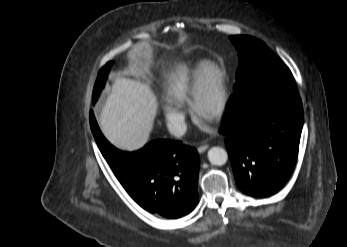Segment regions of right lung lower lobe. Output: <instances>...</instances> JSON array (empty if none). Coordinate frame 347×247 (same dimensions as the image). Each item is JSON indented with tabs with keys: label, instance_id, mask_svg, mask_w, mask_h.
Wrapping results in <instances>:
<instances>
[{
	"label": "right lung lower lobe",
	"instance_id": "98d812e1",
	"mask_svg": "<svg viewBox=\"0 0 347 247\" xmlns=\"http://www.w3.org/2000/svg\"><path fill=\"white\" fill-rule=\"evenodd\" d=\"M89 119L103 157L123 188L142 208L174 219L195 208L199 156L194 148L180 141L161 139L136 152H123L105 139L93 111Z\"/></svg>",
	"mask_w": 347,
	"mask_h": 247
}]
</instances>
